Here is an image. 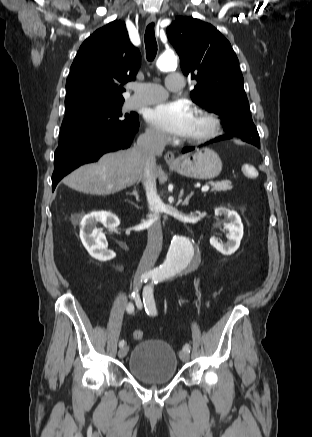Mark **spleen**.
I'll return each instance as SVG.
<instances>
[{
  "label": "spleen",
  "mask_w": 312,
  "mask_h": 437,
  "mask_svg": "<svg viewBox=\"0 0 312 437\" xmlns=\"http://www.w3.org/2000/svg\"><path fill=\"white\" fill-rule=\"evenodd\" d=\"M243 170H244L245 172H248L249 174H252L253 176H256V173H255V172H252L251 169H250V167H249L248 165H245V166L243 167Z\"/></svg>",
  "instance_id": "obj_1"
}]
</instances>
